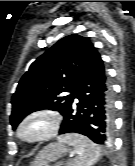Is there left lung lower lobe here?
<instances>
[{"mask_svg": "<svg viewBox=\"0 0 135 166\" xmlns=\"http://www.w3.org/2000/svg\"><path fill=\"white\" fill-rule=\"evenodd\" d=\"M79 100L74 103V99ZM76 105L77 112L74 111ZM60 134L79 133L97 144L111 142L114 130V103L103 61L96 54L82 73L70 106L62 113Z\"/></svg>", "mask_w": 135, "mask_h": 166, "instance_id": "left-lung-lower-lobe-1", "label": "left lung lower lobe"}]
</instances>
